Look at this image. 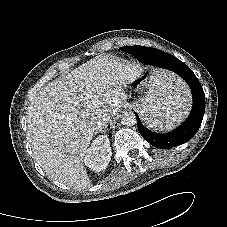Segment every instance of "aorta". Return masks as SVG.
I'll list each match as a JSON object with an SVG mask.
<instances>
[{
  "mask_svg": "<svg viewBox=\"0 0 227 227\" xmlns=\"http://www.w3.org/2000/svg\"><path fill=\"white\" fill-rule=\"evenodd\" d=\"M121 123L125 126H133L136 124V116L132 111H124L120 116Z\"/></svg>",
  "mask_w": 227,
  "mask_h": 227,
  "instance_id": "1",
  "label": "aorta"
}]
</instances>
